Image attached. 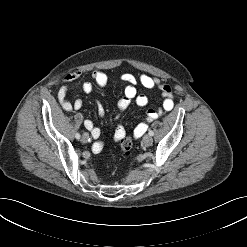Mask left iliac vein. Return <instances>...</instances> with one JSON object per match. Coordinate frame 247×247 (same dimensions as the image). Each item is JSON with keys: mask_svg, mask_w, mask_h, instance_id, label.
<instances>
[{"mask_svg": "<svg viewBox=\"0 0 247 247\" xmlns=\"http://www.w3.org/2000/svg\"><path fill=\"white\" fill-rule=\"evenodd\" d=\"M142 142L145 146H150L153 143V139L150 135H145L142 139Z\"/></svg>", "mask_w": 247, "mask_h": 247, "instance_id": "left-iliac-vein-1", "label": "left iliac vein"}]
</instances>
